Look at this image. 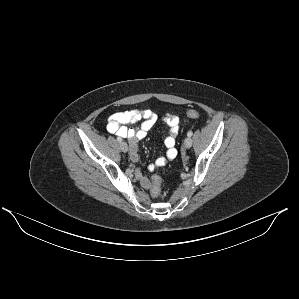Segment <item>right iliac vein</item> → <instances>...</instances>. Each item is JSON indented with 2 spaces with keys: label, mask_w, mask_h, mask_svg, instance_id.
<instances>
[{
  "label": "right iliac vein",
  "mask_w": 299,
  "mask_h": 299,
  "mask_svg": "<svg viewBox=\"0 0 299 299\" xmlns=\"http://www.w3.org/2000/svg\"><path fill=\"white\" fill-rule=\"evenodd\" d=\"M120 149L123 151V152H127L128 151V145L126 142L124 141H121L120 142Z\"/></svg>",
  "instance_id": "right-iliac-vein-1"
}]
</instances>
